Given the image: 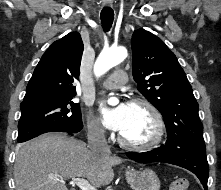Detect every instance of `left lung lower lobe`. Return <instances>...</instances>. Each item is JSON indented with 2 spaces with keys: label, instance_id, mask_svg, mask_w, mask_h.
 <instances>
[{
  "label": "left lung lower lobe",
  "instance_id": "obj_1",
  "mask_svg": "<svg viewBox=\"0 0 221 190\" xmlns=\"http://www.w3.org/2000/svg\"><path fill=\"white\" fill-rule=\"evenodd\" d=\"M127 157L139 163L164 162L174 164L193 172L201 181L205 190L209 176V166L206 150L195 148H174L172 138L168 136L167 142L152 151L141 153H126Z\"/></svg>",
  "mask_w": 221,
  "mask_h": 190
}]
</instances>
